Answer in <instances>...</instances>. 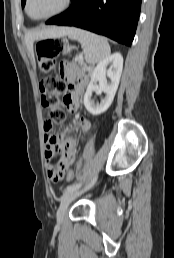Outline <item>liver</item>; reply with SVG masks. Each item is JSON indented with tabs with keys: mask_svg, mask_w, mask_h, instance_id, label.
<instances>
[{
	"mask_svg": "<svg viewBox=\"0 0 174 258\" xmlns=\"http://www.w3.org/2000/svg\"><path fill=\"white\" fill-rule=\"evenodd\" d=\"M68 29L66 27H49L41 31L29 32L25 35L26 46L33 55V43L35 40L63 37L68 34Z\"/></svg>",
	"mask_w": 174,
	"mask_h": 258,
	"instance_id": "1",
	"label": "liver"
}]
</instances>
